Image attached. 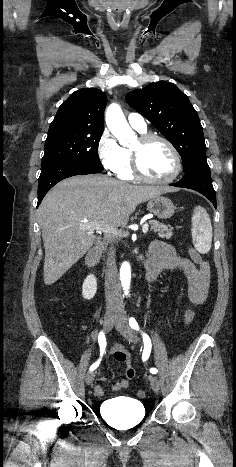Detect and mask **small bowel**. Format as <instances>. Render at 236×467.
I'll return each mask as SVG.
<instances>
[{"label": "small bowel", "mask_w": 236, "mask_h": 467, "mask_svg": "<svg viewBox=\"0 0 236 467\" xmlns=\"http://www.w3.org/2000/svg\"><path fill=\"white\" fill-rule=\"evenodd\" d=\"M147 262L151 273L148 282H152L156 276L164 270L181 269L187 277L190 301L196 305L205 303L209 293L211 278L210 266L207 262L202 261L201 264L195 265V263L189 259L178 256L173 246L163 241H154L151 244L147 255ZM117 352L125 354V360H115L125 363L126 367L124 372L125 378L117 381L112 387L114 392L128 389L130 381L135 376V370L131 364L129 352L118 345L112 347L111 353L114 357ZM99 380L101 382H106L107 378L105 376H100ZM94 392L98 397L104 396V390L101 386H96Z\"/></svg>", "instance_id": "c3829d8e"}]
</instances>
